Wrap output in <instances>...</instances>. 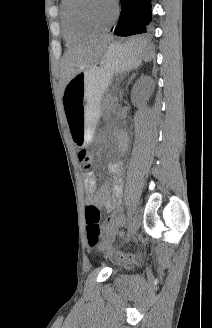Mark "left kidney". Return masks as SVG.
<instances>
[{
	"label": "left kidney",
	"instance_id": "1",
	"mask_svg": "<svg viewBox=\"0 0 212 328\" xmlns=\"http://www.w3.org/2000/svg\"><path fill=\"white\" fill-rule=\"evenodd\" d=\"M142 79L138 80V82L136 83V85H139L141 83ZM133 102H136V100L134 99V97L132 98Z\"/></svg>",
	"mask_w": 212,
	"mask_h": 328
}]
</instances>
